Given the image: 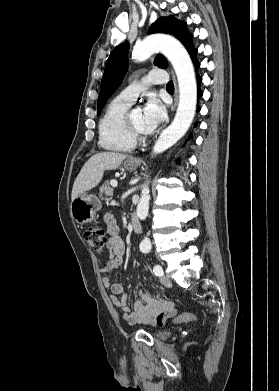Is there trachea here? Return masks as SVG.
Masks as SVG:
<instances>
[{"label": "trachea", "mask_w": 279, "mask_h": 391, "mask_svg": "<svg viewBox=\"0 0 279 391\" xmlns=\"http://www.w3.org/2000/svg\"><path fill=\"white\" fill-rule=\"evenodd\" d=\"M166 88L169 90H174V84H173V82L172 81H169L168 82V84H167V86H166Z\"/></svg>", "instance_id": "obj_1"}]
</instances>
